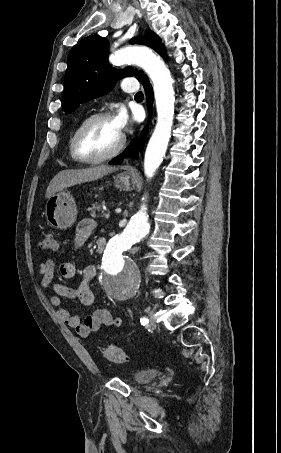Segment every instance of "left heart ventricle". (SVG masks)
<instances>
[{
    "label": "left heart ventricle",
    "mask_w": 281,
    "mask_h": 453,
    "mask_svg": "<svg viewBox=\"0 0 281 453\" xmlns=\"http://www.w3.org/2000/svg\"><path fill=\"white\" fill-rule=\"evenodd\" d=\"M121 136L113 120L93 122L83 135L81 152L87 158L104 155L116 147Z\"/></svg>",
    "instance_id": "left-heart-ventricle-1"
}]
</instances>
